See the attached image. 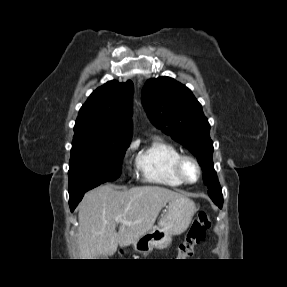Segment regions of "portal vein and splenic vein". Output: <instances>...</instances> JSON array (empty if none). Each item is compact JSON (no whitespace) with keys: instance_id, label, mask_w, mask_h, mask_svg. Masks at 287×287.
<instances>
[{"instance_id":"obj_1","label":"portal vein and splenic vein","mask_w":287,"mask_h":287,"mask_svg":"<svg viewBox=\"0 0 287 287\" xmlns=\"http://www.w3.org/2000/svg\"><path fill=\"white\" fill-rule=\"evenodd\" d=\"M115 220H116V222L128 223L122 218V216H118Z\"/></svg>"}]
</instances>
